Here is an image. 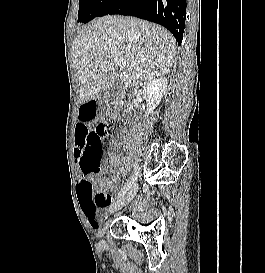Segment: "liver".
Returning <instances> with one entry per match:
<instances>
[{
    "label": "liver",
    "mask_w": 265,
    "mask_h": 273,
    "mask_svg": "<svg viewBox=\"0 0 265 273\" xmlns=\"http://www.w3.org/2000/svg\"><path fill=\"white\" fill-rule=\"evenodd\" d=\"M72 53L80 83L78 101L83 104L114 83V58L128 63L119 79L127 87L167 74L174 62L176 40L160 25L134 17L104 16L80 32Z\"/></svg>",
    "instance_id": "obj_1"
}]
</instances>
